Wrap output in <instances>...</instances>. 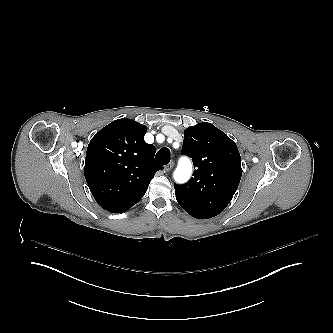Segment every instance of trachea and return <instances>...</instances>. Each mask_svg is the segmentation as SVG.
I'll use <instances>...</instances> for the list:
<instances>
[{
    "mask_svg": "<svg viewBox=\"0 0 333 333\" xmlns=\"http://www.w3.org/2000/svg\"><path fill=\"white\" fill-rule=\"evenodd\" d=\"M170 150L168 148H162L160 149L156 154V160L163 165H166L170 161Z\"/></svg>",
    "mask_w": 333,
    "mask_h": 333,
    "instance_id": "1",
    "label": "trachea"
}]
</instances>
